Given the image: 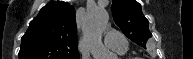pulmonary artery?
<instances>
[{
  "label": "pulmonary artery",
  "mask_w": 193,
  "mask_h": 59,
  "mask_svg": "<svg viewBox=\"0 0 193 59\" xmlns=\"http://www.w3.org/2000/svg\"><path fill=\"white\" fill-rule=\"evenodd\" d=\"M105 43L108 47L119 53H125L128 49L123 35L110 29H107L105 32Z\"/></svg>",
  "instance_id": "pulmonary-artery-1"
}]
</instances>
